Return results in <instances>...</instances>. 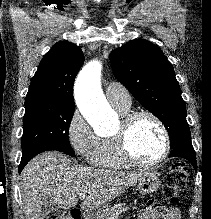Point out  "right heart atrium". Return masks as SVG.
I'll use <instances>...</instances> for the list:
<instances>
[{"label": "right heart atrium", "instance_id": "1", "mask_svg": "<svg viewBox=\"0 0 211 219\" xmlns=\"http://www.w3.org/2000/svg\"><path fill=\"white\" fill-rule=\"evenodd\" d=\"M66 135L74 152L84 159H89L98 143V137L78 110L72 113L68 121Z\"/></svg>", "mask_w": 211, "mask_h": 219}]
</instances>
